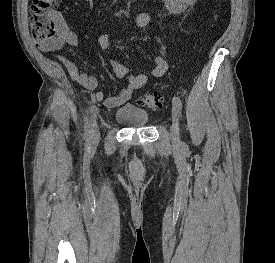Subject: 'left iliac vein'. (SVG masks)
Segmentation results:
<instances>
[{"label": "left iliac vein", "mask_w": 275, "mask_h": 263, "mask_svg": "<svg viewBox=\"0 0 275 263\" xmlns=\"http://www.w3.org/2000/svg\"><path fill=\"white\" fill-rule=\"evenodd\" d=\"M171 140L173 143L179 142V115L174 109L172 111Z\"/></svg>", "instance_id": "left-iliac-vein-1"}]
</instances>
